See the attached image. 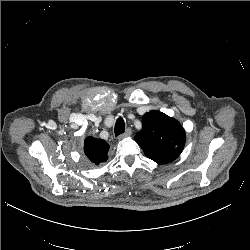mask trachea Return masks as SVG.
<instances>
[{"label": "trachea", "instance_id": "3493384b", "mask_svg": "<svg viewBox=\"0 0 250 250\" xmlns=\"http://www.w3.org/2000/svg\"><path fill=\"white\" fill-rule=\"evenodd\" d=\"M125 131V123L122 117H119L115 123V128H114V132H115V136H118L122 133H124Z\"/></svg>", "mask_w": 250, "mask_h": 250}]
</instances>
